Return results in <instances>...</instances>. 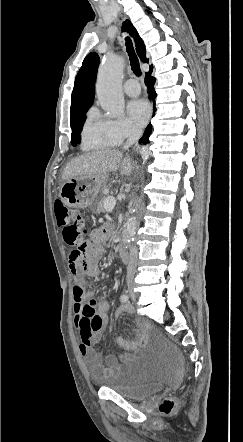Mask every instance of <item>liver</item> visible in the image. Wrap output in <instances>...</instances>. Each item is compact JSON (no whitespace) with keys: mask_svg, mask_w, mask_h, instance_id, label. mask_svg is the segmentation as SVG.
I'll return each instance as SVG.
<instances>
[{"mask_svg":"<svg viewBox=\"0 0 243 442\" xmlns=\"http://www.w3.org/2000/svg\"><path fill=\"white\" fill-rule=\"evenodd\" d=\"M134 168L130 157L115 149H102L85 153L73 159L64 169L62 179L67 181L73 177L98 175L115 172L120 169L121 175L129 176Z\"/></svg>","mask_w":243,"mask_h":442,"instance_id":"6515ba94","label":"liver"}]
</instances>
